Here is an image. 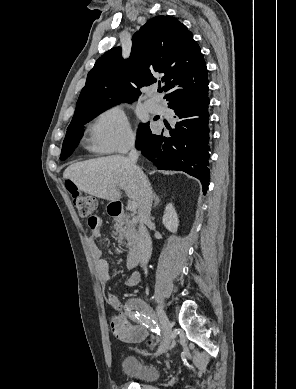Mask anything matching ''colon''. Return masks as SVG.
<instances>
[{"mask_svg":"<svg viewBox=\"0 0 296 389\" xmlns=\"http://www.w3.org/2000/svg\"><path fill=\"white\" fill-rule=\"evenodd\" d=\"M68 190L72 195L74 205L76 206L79 215L82 218L87 219L89 225H94L97 220V217L94 214L97 207L96 200L89 195L79 192L71 183L68 185ZM113 332L117 337L121 334L116 328L113 329Z\"/></svg>","mask_w":296,"mask_h":389,"instance_id":"5ec220e1","label":"colon"}]
</instances>
